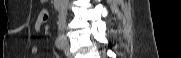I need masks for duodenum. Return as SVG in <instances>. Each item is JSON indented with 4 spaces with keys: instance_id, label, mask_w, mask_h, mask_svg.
Wrapping results in <instances>:
<instances>
[{
    "instance_id": "410a0bca",
    "label": "duodenum",
    "mask_w": 181,
    "mask_h": 58,
    "mask_svg": "<svg viewBox=\"0 0 181 58\" xmlns=\"http://www.w3.org/2000/svg\"><path fill=\"white\" fill-rule=\"evenodd\" d=\"M53 5L56 9H60L62 6V0H54Z\"/></svg>"
}]
</instances>
